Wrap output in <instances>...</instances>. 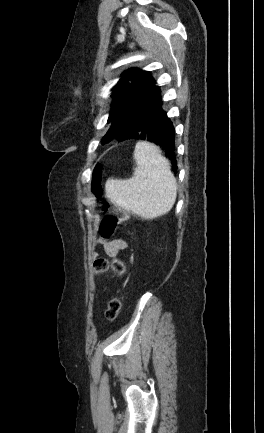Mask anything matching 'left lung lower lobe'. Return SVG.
Returning a JSON list of instances; mask_svg holds the SVG:
<instances>
[{"instance_id": "obj_1", "label": "left lung lower lobe", "mask_w": 264, "mask_h": 433, "mask_svg": "<svg viewBox=\"0 0 264 433\" xmlns=\"http://www.w3.org/2000/svg\"><path fill=\"white\" fill-rule=\"evenodd\" d=\"M127 129L128 139L148 140L159 145L171 161L174 173L177 162L174 154L175 131L162 109L160 88L155 82L135 101L120 120Z\"/></svg>"}]
</instances>
